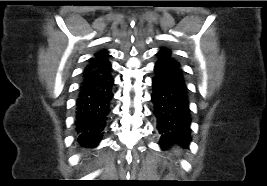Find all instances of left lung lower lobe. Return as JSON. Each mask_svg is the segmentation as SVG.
<instances>
[{"label":"left lung lower lobe","instance_id":"0a47b994","mask_svg":"<svg viewBox=\"0 0 267 186\" xmlns=\"http://www.w3.org/2000/svg\"><path fill=\"white\" fill-rule=\"evenodd\" d=\"M157 55L151 100L154 105L153 114L157 121V129L161 135L160 145L174 143L188 145L191 139V115L183 71L176 61L163 54Z\"/></svg>","mask_w":267,"mask_h":186}]
</instances>
